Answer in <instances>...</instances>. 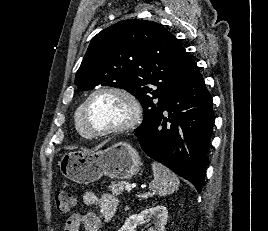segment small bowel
<instances>
[{
  "label": "small bowel",
  "instance_id": "obj_1",
  "mask_svg": "<svg viewBox=\"0 0 268 231\" xmlns=\"http://www.w3.org/2000/svg\"><path fill=\"white\" fill-rule=\"evenodd\" d=\"M82 202L86 206H97L99 214H73L65 223L64 231H98L103 222L113 217L118 207V200L114 195L104 194L98 198L92 191L82 193Z\"/></svg>",
  "mask_w": 268,
  "mask_h": 231
}]
</instances>
